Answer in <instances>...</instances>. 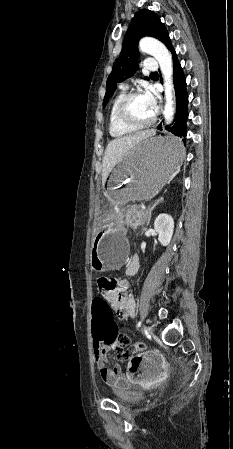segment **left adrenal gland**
<instances>
[{"instance_id": "a2214340", "label": "left adrenal gland", "mask_w": 233, "mask_h": 449, "mask_svg": "<svg viewBox=\"0 0 233 449\" xmlns=\"http://www.w3.org/2000/svg\"><path fill=\"white\" fill-rule=\"evenodd\" d=\"M160 202H163V198H160L159 200H157L152 206H150V207H148V209H147V214H148V221H147V225L150 223V219H151V213H152V210L160 203Z\"/></svg>"}]
</instances>
